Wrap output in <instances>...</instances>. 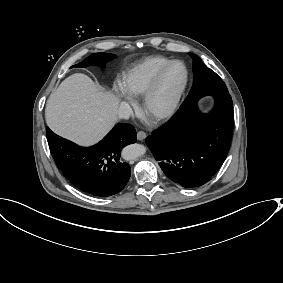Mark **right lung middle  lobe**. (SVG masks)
Returning <instances> with one entry per match:
<instances>
[{"label": "right lung middle lobe", "instance_id": "1", "mask_svg": "<svg viewBox=\"0 0 283 283\" xmlns=\"http://www.w3.org/2000/svg\"><path fill=\"white\" fill-rule=\"evenodd\" d=\"M115 57L116 56L113 55V54L95 53V54L88 56L85 60H83L79 64L73 65L71 68H73V67L84 68V67H87V66H90V65H93V64L104 66V64L108 60H112Z\"/></svg>", "mask_w": 283, "mask_h": 283}]
</instances>
